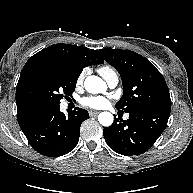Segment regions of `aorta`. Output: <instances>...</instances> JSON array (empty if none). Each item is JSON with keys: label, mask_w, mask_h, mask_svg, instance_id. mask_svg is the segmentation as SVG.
Returning a JSON list of instances; mask_svg holds the SVG:
<instances>
[{"label": "aorta", "mask_w": 193, "mask_h": 193, "mask_svg": "<svg viewBox=\"0 0 193 193\" xmlns=\"http://www.w3.org/2000/svg\"><path fill=\"white\" fill-rule=\"evenodd\" d=\"M86 91L92 94L103 93L106 90V83L98 76H88L84 81ZM101 125L108 127L113 123V115L110 112H102L98 116Z\"/></svg>", "instance_id": "1"}]
</instances>
